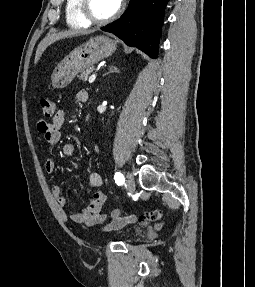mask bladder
I'll use <instances>...</instances> for the list:
<instances>
[{
    "mask_svg": "<svg viewBox=\"0 0 255 287\" xmlns=\"http://www.w3.org/2000/svg\"><path fill=\"white\" fill-rule=\"evenodd\" d=\"M137 233V230L136 229H128L127 231H126V237L127 238H129V237H132V236H134L135 234Z\"/></svg>",
    "mask_w": 255,
    "mask_h": 287,
    "instance_id": "1",
    "label": "bladder"
}]
</instances>
